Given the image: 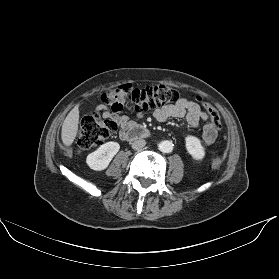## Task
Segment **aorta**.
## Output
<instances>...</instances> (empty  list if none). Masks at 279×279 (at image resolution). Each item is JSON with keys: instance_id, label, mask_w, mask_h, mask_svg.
<instances>
[{"instance_id": "1", "label": "aorta", "mask_w": 279, "mask_h": 279, "mask_svg": "<svg viewBox=\"0 0 279 279\" xmlns=\"http://www.w3.org/2000/svg\"><path fill=\"white\" fill-rule=\"evenodd\" d=\"M159 149L164 153H170L173 150V143L168 140L162 141L159 144Z\"/></svg>"}]
</instances>
